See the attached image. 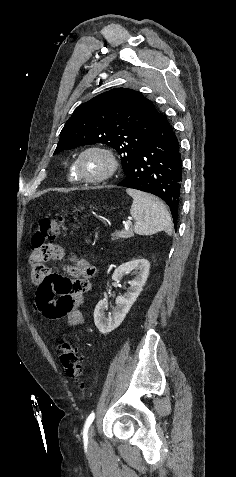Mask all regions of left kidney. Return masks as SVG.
I'll return each instance as SVG.
<instances>
[{"label": "left kidney", "mask_w": 236, "mask_h": 477, "mask_svg": "<svg viewBox=\"0 0 236 477\" xmlns=\"http://www.w3.org/2000/svg\"><path fill=\"white\" fill-rule=\"evenodd\" d=\"M150 263L146 259H136L120 265L113 273L112 280L119 282L128 273L135 275L129 282L130 287L123 296L116 299V307L112 315L106 317L107 303L100 300L94 310V323L100 333L107 334L116 329L124 320L126 314L141 293L149 275Z\"/></svg>", "instance_id": "1"}]
</instances>
